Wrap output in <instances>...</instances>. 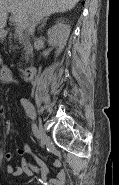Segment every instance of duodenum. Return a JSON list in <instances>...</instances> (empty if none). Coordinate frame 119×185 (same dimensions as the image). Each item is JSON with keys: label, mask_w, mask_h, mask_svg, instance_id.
<instances>
[{"label": "duodenum", "mask_w": 119, "mask_h": 185, "mask_svg": "<svg viewBox=\"0 0 119 185\" xmlns=\"http://www.w3.org/2000/svg\"><path fill=\"white\" fill-rule=\"evenodd\" d=\"M36 73H37V68L35 66H30L23 70L22 76L24 80L30 81L35 77Z\"/></svg>", "instance_id": "410a0bca"}]
</instances>
